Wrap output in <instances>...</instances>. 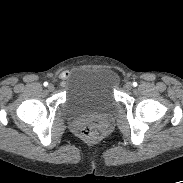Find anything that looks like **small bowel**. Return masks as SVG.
I'll use <instances>...</instances> for the list:
<instances>
[{"label":"small bowel","mask_w":183,"mask_h":183,"mask_svg":"<svg viewBox=\"0 0 183 183\" xmlns=\"http://www.w3.org/2000/svg\"><path fill=\"white\" fill-rule=\"evenodd\" d=\"M67 74H64L63 77H66Z\"/></svg>","instance_id":"1"}]
</instances>
